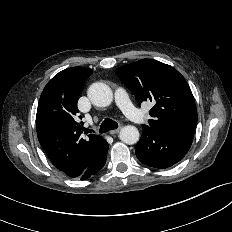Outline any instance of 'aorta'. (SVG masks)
I'll list each match as a JSON object with an SVG mask.
<instances>
[{"label":"aorta","instance_id":"aorta-1","mask_svg":"<svg viewBox=\"0 0 232 232\" xmlns=\"http://www.w3.org/2000/svg\"><path fill=\"white\" fill-rule=\"evenodd\" d=\"M87 94L92 104L98 107H106L113 100L111 88L102 82H95L90 85ZM119 138L126 144H135L139 141V131L135 126H124L120 131Z\"/></svg>","mask_w":232,"mask_h":232}]
</instances>
